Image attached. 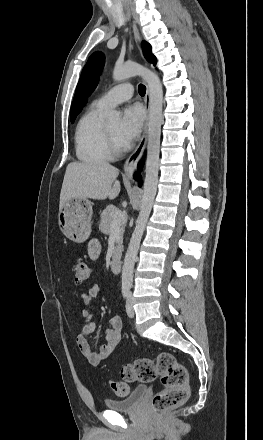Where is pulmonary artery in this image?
I'll use <instances>...</instances> for the list:
<instances>
[{"label": "pulmonary artery", "mask_w": 263, "mask_h": 440, "mask_svg": "<svg viewBox=\"0 0 263 440\" xmlns=\"http://www.w3.org/2000/svg\"><path fill=\"white\" fill-rule=\"evenodd\" d=\"M133 94V85L130 83H123L108 90L96 100V103L104 108H111L130 100Z\"/></svg>", "instance_id": "e3ab8cb5"}]
</instances>
